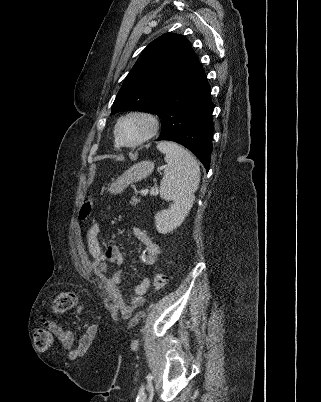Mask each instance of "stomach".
Masks as SVG:
<instances>
[{"instance_id": "1", "label": "stomach", "mask_w": 321, "mask_h": 402, "mask_svg": "<svg viewBox=\"0 0 321 402\" xmlns=\"http://www.w3.org/2000/svg\"><path fill=\"white\" fill-rule=\"evenodd\" d=\"M154 170L152 161H141L130 167L109 186L111 194L121 193L129 184L140 181L149 176Z\"/></svg>"}]
</instances>
